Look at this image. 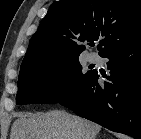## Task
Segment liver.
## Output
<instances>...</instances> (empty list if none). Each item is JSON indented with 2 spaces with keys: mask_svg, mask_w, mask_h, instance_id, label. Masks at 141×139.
Returning <instances> with one entry per match:
<instances>
[{
  "mask_svg": "<svg viewBox=\"0 0 141 139\" xmlns=\"http://www.w3.org/2000/svg\"><path fill=\"white\" fill-rule=\"evenodd\" d=\"M101 126L63 110L19 113L10 139H95Z\"/></svg>",
  "mask_w": 141,
  "mask_h": 139,
  "instance_id": "obj_1",
  "label": "liver"
}]
</instances>
